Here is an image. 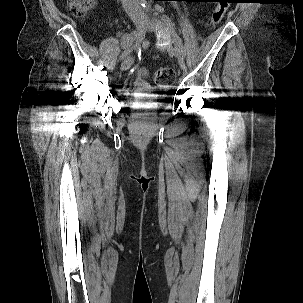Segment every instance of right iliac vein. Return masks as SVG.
<instances>
[{"mask_svg": "<svg viewBox=\"0 0 303 303\" xmlns=\"http://www.w3.org/2000/svg\"><path fill=\"white\" fill-rule=\"evenodd\" d=\"M135 24H136V44L134 46V49L137 50L140 44L142 43L143 39L145 38V34L148 28V23L145 20H137ZM132 62H133V58L131 56L125 58V60L121 64V70L128 69L132 64Z\"/></svg>", "mask_w": 303, "mask_h": 303, "instance_id": "right-iliac-vein-1", "label": "right iliac vein"}]
</instances>
